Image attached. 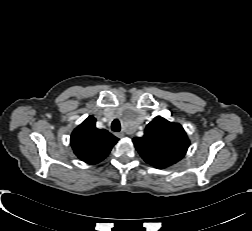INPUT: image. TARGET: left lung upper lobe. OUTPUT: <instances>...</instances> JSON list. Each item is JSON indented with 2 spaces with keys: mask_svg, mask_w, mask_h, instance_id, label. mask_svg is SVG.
<instances>
[{
  "mask_svg": "<svg viewBox=\"0 0 252 231\" xmlns=\"http://www.w3.org/2000/svg\"><path fill=\"white\" fill-rule=\"evenodd\" d=\"M132 141L141 157L158 169L181 160L189 147L183 127L162 117L154 118L146 126L143 137Z\"/></svg>",
  "mask_w": 252,
  "mask_h": 231,
  "instance_id": "5c2ea615",
  "label": "left lung upper lobe"
}]
</instances>
